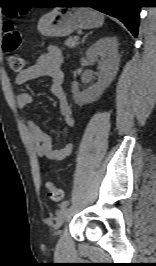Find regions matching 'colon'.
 I'll return each instance as SVG.
<instances>
[{"label": "colon", "mask_w": 156, "mask_h": 266, "mask_svg": "<svg viewBox=\"0 0 156 266\" xmlns=\"http://www.w3.org/2000/svg\"><path fill=\"white\" fill-rule=\"evenodd\" d=\"M20 14L23 15L24 13L21 12ZM4 30L3 48L10 53L7 58L9 67L13 72L20 73L24 70L26 61L23 56L14 53V51L21 45V34L19 30L10 23L5 25ZM45 186L50 199L57 202L63 198V192L58 189L52 181H47Z\"/></svg>", "instance_id": "1"}]
</instances>
